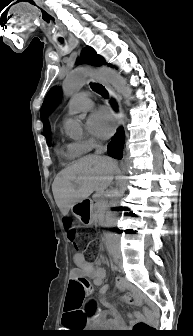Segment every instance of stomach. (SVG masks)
<instances>
[{
    "label": "stomach",
    "instance_id": "1",
    "mask_svg": "<svg viewBox=\"0 0 193 336\" xmlns=\"http://www.w3.org/2000/svg\"><path fill=\"white\" fill-rule=\"evenodd\" d=\"M72 213L85 226L92 225L94 222V213L92 204L89 201L82 200L71 207Z\"/></svg>",
    "mask_w": 193,
    "mask_h": 336
}]
</instances>
